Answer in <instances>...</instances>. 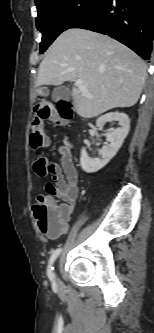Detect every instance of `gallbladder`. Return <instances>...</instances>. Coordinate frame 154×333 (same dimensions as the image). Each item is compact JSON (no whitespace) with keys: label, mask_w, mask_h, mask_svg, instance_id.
I'll return each instance as SVG.
<instances>
[{"label":"gallbladder","mask_w":154,"mask_h":333,"mask_svg":"<svg viewBox=\"0 0 154 333\" xmlns=\"http://www.w3.org/2000/svg\"><path fill=\"white\" fill-rule=\"evenodd\" d=\"M39 94L43 97L48 96L49 94V90L47 87H42L39 90ZM71 97V92L70 89L67 88L66 86H57L53 89L52 92V99L54 101H57L59 99H64V100H68Z\"/></svg>","instance_id":"bac80fb5"}]
</instances>
